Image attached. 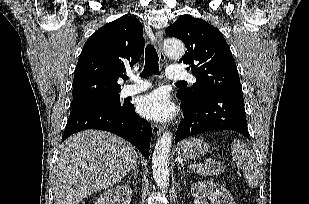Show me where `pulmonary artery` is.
<instances>
[{
    "mask_svg": "<svg viewBox=\"0 0 309 204\" xmlns=\"http://www.w3.org/2000/svg\"><path fill=\"white\" fill-rule=\"evenodd\" d=\"M166 77L169 80H189L195 82L194 76L184 69L170 67L167 69ZM151 87V84L145 80L138 79L134 84L127 85L122 89L123 96H130L141 93Z\"/></svg>",
    "mask_w": 309,
    "mask_h": 204,
    "instance_id": "obj_1",
    "label": "pulmonary artery"
}]
</instances>
